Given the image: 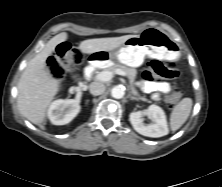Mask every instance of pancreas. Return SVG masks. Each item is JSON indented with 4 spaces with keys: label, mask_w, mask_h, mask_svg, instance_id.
<instances>
[{
    "label": "pancreas",
    "mask_w": 222,
    "mask_h": 187,
    "mask_svg": "<svg viewBox=\"0 0 222 187\" xmlns=\"http://www.w3.org/2000/svg\"><path fill=\"white\" fill-rule=\"evenodd\" d=\"M116 70H122L125 72L126 76L128 77L129 81H130V84H131V89H132V93L137 96L138 98L137 99H140L142 101H146V102H150L148 101L146 98L144 97H141L139 95V92L135 89L134 87V81H135V78H136V74H137V71L136 69L134 68H129V67H126L124 65H121V64H113L109 67H107L105 69V71H109V72H112L113 74H115Z\"/></svg>",
    "instance_id": "obj_1"
}]
</instances>
